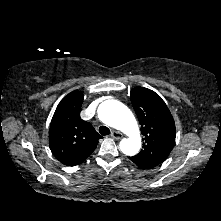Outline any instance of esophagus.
Here are the masks:
<instances>
[{"label":"esophagus","instance_id":"34e87169","mask_svg":"<svg viewBox=\"0 0 221 221\" xmlns=\"http://www.w3.org/2000/svg\"><path fill=\"white\" fill-rule=\"evenodd\" d=\"M110 135L114 139H121L123 137V134L116 130H113Z\"/></svg>","mask_w":221,"mask_h":221}]
</instances>
